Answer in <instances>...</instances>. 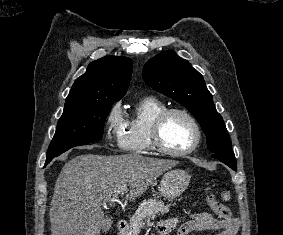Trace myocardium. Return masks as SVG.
<instances>
[{
    "label": "myocardium",
    "mask_w": 283,
    "mask_h": 235,
    "mask_svg": "<svg viewBox=\"0 0 283 235\" xmlns=\"http://www.w3.org/2000/svg\"><path fill=\"white\" fill-rule=\"evenodd\" d=\"M173 114H180L185 116L193 125L195 130V139L193 143L186 149L175 151L167 148L161 137L162 127L164 122ZM152 147L159 153L169 156H185L194 152L200 145L202 139V131L199 122L192 113L183 108H167L161 112L154 120L150 132Z\"/></svg>",
    "instance_id": "1"
}]
</instances>
